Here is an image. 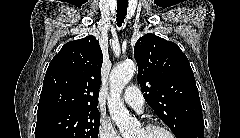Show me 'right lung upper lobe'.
<instances>
[{
    "label": "right lung upper lobe",
    "mask_w": 240,
    "mask_h": 138,
    "mask_svg": "<svg viewBox=\"0 0 240 138\" xmlns=\"http://www.w3.org/2000/svg\"><path fill=\"white\" fill-rule=\"evenodd\" d=\"M102 51L94 36L66 43L51 60L37 115L61 109H97Z\"/></svg>",
    "instance_id": "obj_1"
}]
</instances>
